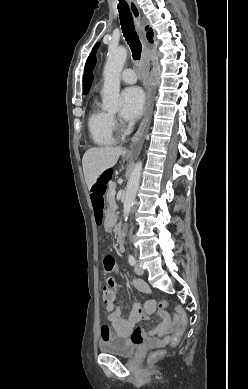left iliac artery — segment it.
<instances>
[{
  "label": "left iliac artery",
  "mask_w": 248,
  "mask_h": 389,
  "mask_svg": "<svg viewBox=\"0 0 248 389\" xmlns=\"http://www.w3.org/2000/svg\"><path fill=\"white\" fill-rule=\"evenodd\" d=\"M128 261H129V264H130L131 266H133V265L136 264V259H135V257H134L133 255H131V254H129V256H128Z\"/></svg>",
  "instance_id": "left-iliac-artery-1"
}]
</instances>
